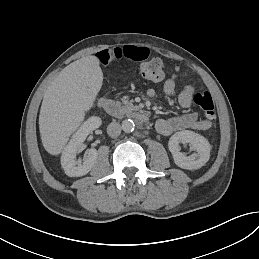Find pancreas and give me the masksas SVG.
<instances>
[{
    "label": "pancreas",
    "instance_id": "cf45deb5",
    "mask_svg": "<svg viewBox=\"0 0 259 259\" xmlns=\"http://www.w3.org/2000/svg\"><path fill=\"white\" fill-rule=\"evenodd\" d=\"M129 96H124L121 98V102L123 103V109L125 112H131L133 109H138L137 106H133V101L129 100Z\"/></svg>",
    "mask_w": 259,
    "mask_h": 259
}]
</instances>
